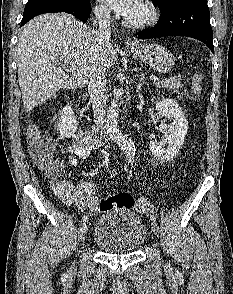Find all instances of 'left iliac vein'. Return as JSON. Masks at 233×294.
<instances>
[{"label":"left iliac vein","instance_id":"1","mask_svg":"<svg viewBox=\"0 0 233 294\" xmlns=\"http://www.w3.org/2000/svg\"><path fill=\"white\" fill-rule=\"evenodd\" d=\"M151 230L153 231V233H154L155 235H158L159 232H160V230H159V226H158V224H157L155 221H152V222H151Z\"/></svg>","mask_w":233,"mask_h":294}]
</instances>
